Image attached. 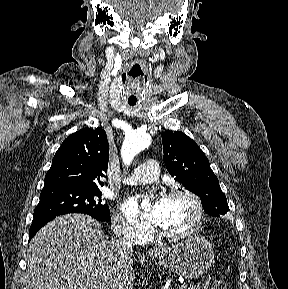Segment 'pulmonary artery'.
Returning <instances> with one entry per match:
<instances>
[{
    "label": "pulmonary artery",
    "mask_w": 288,
    "mask_h": 289,
    "mask_svg": "<svg viewBox=\"0 0 288 289\" xmlns=\"http://www.w3.org/2000/svg\"><path fill=\"white\" fill-rule=\"evenodd\" d=\"M159 173L158 163L153 159H148L138 166L133 175L124 182L127 184L150 183L157 179Z\"/></svg>",
    "instance_id": "1"
}]
</instances>
